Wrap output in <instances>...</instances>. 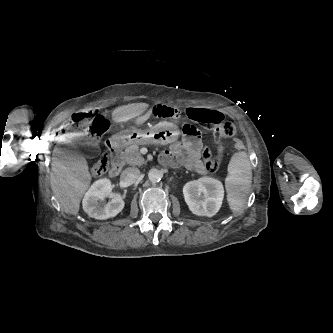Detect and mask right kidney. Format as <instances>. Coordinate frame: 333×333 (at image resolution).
<instances>
[{
	"mask_svg": "<svg viewBox=\"0 0 333 333\" xmlns=\"http://www.w3.org/2000/svg\"><path fill=\"white\" fill-rule=\"evenodd\" d=\"M112 184L109 179L102 178L93 183L83 198V210L95 219L104 220L116 216L124 208L120 194L111 195ZM112 196L108 204L100 205L99 201Z\"/></svg>",
	"mask_w": 333,
	"mask_h": 333,
	"instance_id": "right-kidney-1",
	"label": "right kidney"
}]
</instances>
